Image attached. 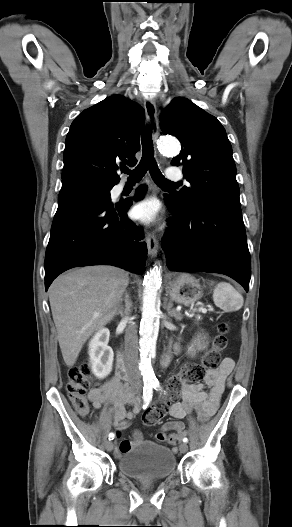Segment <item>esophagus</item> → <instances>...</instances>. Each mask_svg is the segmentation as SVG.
<instances>
[{"instance_id": "obj_1", "label": "esophagus", "mask_w": 292, "mask_h": 527, "mask_svg": "<svg viewBox=\"0 0 292 527\" xmlns=\"http://www.w3.org/2000/svg\"><path fill=\"white\" fill-rule=\"evenodd\" d=\"M144 108L147 120L151 127L153 135L157 134L158 131V120H157V108L154 99H146L144 101ZM148 254L152 257H156L158 253L159 243L154 233H148L146 238Z\"/></svg>"}]
</instances>
